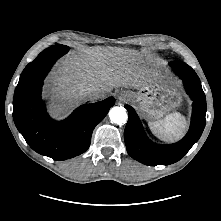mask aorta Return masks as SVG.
Segmentation results:
<instances>
[{
    "label": "aorta",
    "mask_w": 221,
    "mask_h": 221,
    "mask_svg": "<svg viewBox=\"0 0 221 221\" xmlns=\"http://www.w3.org/2000/svg\"><path fill=\"white\" fill-rule=\"evenodd\" d=\"M111 122L122 125L127 121V113L124 107L116 106L111 108L109 112Z\"/></svg>",
    "instance_id": "obj_1"
}]
</instances>
